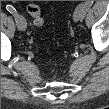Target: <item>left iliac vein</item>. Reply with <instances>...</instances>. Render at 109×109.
Listing matches in <instances>:
<instances>
[{
    "label": "left iliac vein",
    "mask_w": 109,
    "mask_h": 109,
    "mask_svg": "<svg viewBox=\"0 0 109 109\" xmlns=\"http://www.w3.org/2000/svg\"><path fill=\"white\" fill-rule=\"evenodd\" d=\"M83 15H84L83 6L79 4L74 11L73 20L75 22L80 21L83 19Z\"/></svg>",
    "instance_id": "4c4485c4"
}]
</instances>
